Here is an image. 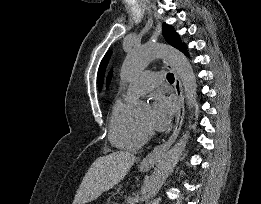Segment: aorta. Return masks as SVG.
<instances>
[{
	"instance_id": "aorta-1",
	"label": "aorta",
	"mask_w": 261,
	"mask_h": 204,
	"mask_svg": "<svg viewBox=\"0 0 261 204\" xmlns=\"http://www.w3.org/2000/svg\"><path fill=\"white\" fill-rule=\"evenodd\" d=\"M155 58H165L176 70L184 91L187 104L192 108L196 102L197 83L192 65L187 57L178 49L157 43H147L128 52L123 63L121 74L126 80L138 76ZM148 108L144 101H136L133 105V115L141 116ZM189 133L186 132L157 163L147 186V199H152L164 184L177 165L187 143Z\"/></svg>"
}]
</instances>
